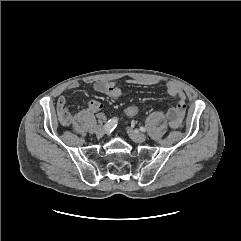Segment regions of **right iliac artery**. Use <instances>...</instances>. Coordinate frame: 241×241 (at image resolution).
Returning <instances> with one entry per match:
<instances>
[{"label": "right iliac artery", "instance_id": "obj_1", "mask_svg": "<svg viewBox=\"0 0 241 241\" xmlns=\"http://www.w3.org/2000/svg\"><path fill=\"white\" fill-rule=\"evenodd\" d=\"M118 119L116 117L108 120V122L104 125L106 131H112L117 126Z\"/></svg>", "mask_w": 241, "mask_h": 241}]
</instances>
